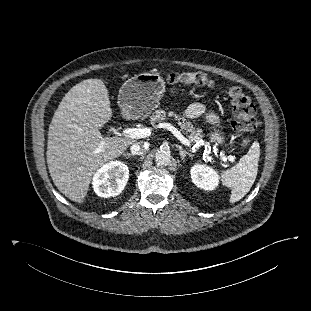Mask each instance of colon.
Returning a JSON list of instances; mask_svg holds the SVG:
<instances>
[{
  "mask_svg": "<svg viewBox=\"0 0 311 311\" xmlns=\"http://www.w3.org/2000/svg\"><path fill=\"white\" fill-rule=\"evenodd\" d=\"M169 81L176 85H214L212 78L199 71L172 73L169 76ZM228 94L233 109L231 125L234 131L240 134V139L238 141L239 147L241 149H246L251 144L249 133L253 132L258 126L256 108L250 97L241 88L232 87Z\"/></svg>",
  "mask_w": 311,
  "mask_h": 311,
  "instance_id": "obj_1",
  "label": "colon"
}]
</instances>
